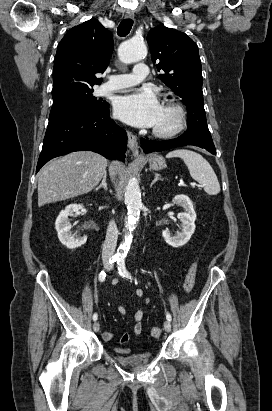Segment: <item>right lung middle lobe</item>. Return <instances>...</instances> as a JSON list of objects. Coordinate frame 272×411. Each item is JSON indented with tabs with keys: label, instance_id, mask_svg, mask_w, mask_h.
<instances>
[{
	"label": "right lung middle lobe",
	"instance_id": "1",
	"mask_svg": "<svg viewBox=\"0 0 272 411\" xmlns=\"http://www.w3.org/2000/svg\"><path fill=\"white\" fill-rule=\"evenodd\" d=\"M92 93L93 89L86 88L72 92L63 99L53 101L49 121L71 113L101 108L105 102L97 101Z\"/></svg>",
	"mask_w": 272,
	"mask_h": 411
}]
</instances>
